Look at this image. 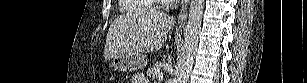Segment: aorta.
I'll use <instances>...</instances> for the list:
<instances>
[{"label":"aorta","mask_w":307,"mask_h":83,"mask_svg":"<svg viewBox=\"0 0 307 83\" xmlns=\"http://www.w3.org/2000/svg\"><path fill=\"white\" fill-rule=\"evenodd\" d=\"M203 11L204 0H191L185 30V43L176 71L175 83H187L189 79L197 50Z\"/></svg>","instance_id":"762f6f07"}]
</instances>
